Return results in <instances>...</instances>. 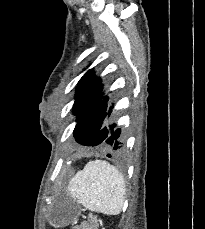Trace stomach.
<instances>
[{"label":"stomach","mask_w":205,"mask_h":229,"mask_svg":"<svg viewBox=\"0 0 205 229\" xmlns=\"http://www.w3.org/2000/svg\"><path fill=\"white\" fill-rule=\"evenodd\" d=\"M72 206L64 203L56 204L49 213V223L54 227H64L75 218Z\"/></svg>","instance_id":"stomach-1"}]
</instances>
